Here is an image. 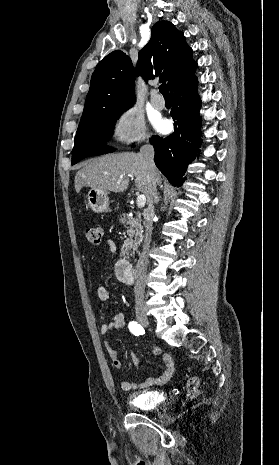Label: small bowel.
I'll use <instances>...</instances> for the list:
<instances>
[{"label": "small bowel", "mask_w": 279, "mask_h": 465, "mask_svg": "<svg viewBox=\"0 0 279 465\" xmlns=\"http://www.w3.org/2000/svg\"><path fill=\"white\" fill-rule=\"evenodd\" d=\"M107 245L109 247V250L113 254H116L117 247L114 241L108 240ZM116 274H117V271H116ZM96 294L100 301H107L109 299V292L107 288L104 286H99L96 290ZM102 317L104 318L103 314H102ZM124 325H125L124 314L118 313L109 322L104 323L101 326L100 331L102 334L105 335L111 331L122 329ZM106 350H107V353L109 355L112 365L116 369H120L122 367V362L118 357L117 351L113 349L109 343H106ZM151 352L153 355L161 354L160 348L156 344H153V343L151 344ZM131 357L134 362V365L138 367L140 365V359L137 357V355L133 351L131 352ZM162 360L165 364V369L160 376L147 378L141 383L122 381L121 382L122 390L131 391V390H136V389H144V388H148L150 386L156 385V384L166 383L174 374L175 366H174L173 359L167 353L162 354Z\"/></svg>", "instance_id": "small-bowel-1"}]
</instances>
